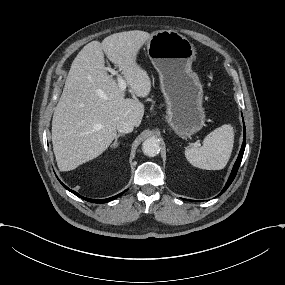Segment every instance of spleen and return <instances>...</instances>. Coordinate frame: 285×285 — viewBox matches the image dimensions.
<instances>
[{
  "label": "spleen",
  "instance_id": "1",
  "mask_svg": "<svg viewBox=\"0 0 285 285\" xmlns=\"http://www.w3.org/2000/svg\"><path fill=\"white\" fill-rule=\"evenodd\" d=\"M233 134V129L229 124L214 129L203 139L202 147L184 148L187 161L200 169H223L232 151Z\"/></svg>",
  "mask_w": 285,
  "mask_h": 285
}]
</instances>
